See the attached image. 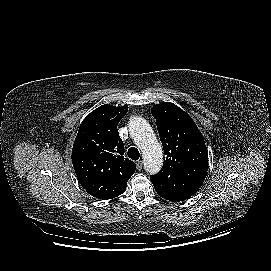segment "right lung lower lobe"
Returning a JSON list of instances; mask_svg holds the SVG:
<instances>
[{
    "instance_id": "right-lung-lower-lobe-1",
    "label": "right lung lower lobe",
    "mask_w": 271,
    "mask_h": 271,
    "mask_svg": "<svg viewBox=\"0 0 271 271\" xmlns=\"http://www.w3.org/2000/svg\"><path fill=\"white\" fill-rule=\"evenodd\" d=\"M83 188L92 196L100 199H111L122 194L126 185H120L111 181H101V180H79Z\"/></svg>"
}]
</instances>
